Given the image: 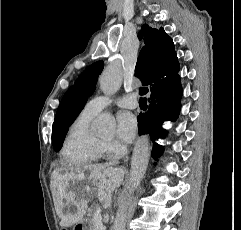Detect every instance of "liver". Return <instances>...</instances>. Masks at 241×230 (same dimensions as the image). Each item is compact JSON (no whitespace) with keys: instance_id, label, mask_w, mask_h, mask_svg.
<instances>
[{"instance_id":"1","label":"liver","mask_w":241,"mask_h":230,"mask_svg":"<svg viewBox=\"0 0 241 230\" xmlns=\"http://www.w3.org/2000/svg\"><path fill=\"white\" fill-rule=\"evenodd\" d=\"M51 179L54 206L61 219L60 225L70 227L83 219L88 205V199L85 197L93 192L90 185L97 186L100 198L110 201L111 193L124 179V171L105 164H93L75 168H58L52 173ZM74 189H77V192ZM68 204L76 208L75 213L65 212Z\"/></svg>"}]
</instances>
